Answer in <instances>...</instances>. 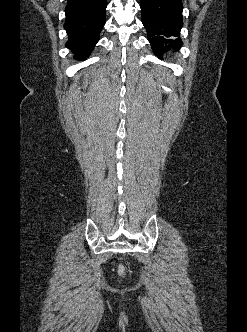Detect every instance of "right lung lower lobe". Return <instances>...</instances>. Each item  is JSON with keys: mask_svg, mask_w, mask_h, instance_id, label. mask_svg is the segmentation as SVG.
Here are the masks:
<instances>
[{"mask_svg": "<svg viewBox=\"0 0 247 332\" xmlns=\"http://www.w3.org/2000/svg\"><path fill=\"white\" fill-rule=\"evenodd\" d=\"M107 0H67L64 28L69 40L66 47L83 61L99 40V33L105 24Z\"/></svg>", "mask_w": 247, "mask_h": 332, "instance_id": "98d812e1", "label": "right lung lower lobe"}]
</instances>
